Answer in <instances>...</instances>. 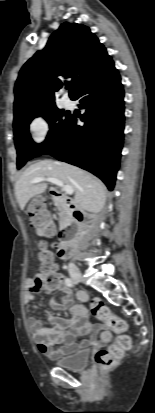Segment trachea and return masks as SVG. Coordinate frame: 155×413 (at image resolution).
I'll list each match as a JSON object with an SVG mask.
<instances>
[{"mask_svg": "<svg viewBox=\"0 0 155 413\" xmlns=\"http://www.w3.org/2000/svg\"><path fill=\"white\" fill-rule=\"evenodd\" d=\"M70 88H71V86H70V85H68V86H67V89H70Z\"/></svg>", "mask_w": 155, "mask_h": 413, "instance_id": "3493384b", "label": "trachea"}]
</instances>
